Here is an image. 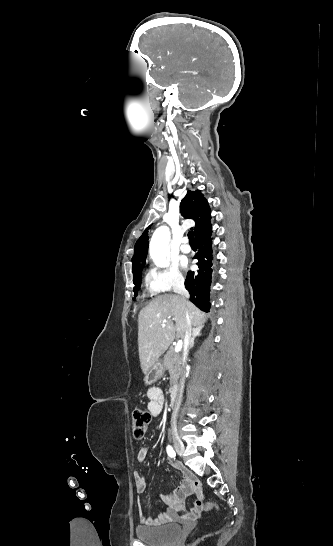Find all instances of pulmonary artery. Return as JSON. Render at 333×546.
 <instances>
[{"instance_id": "1", "label": "pulmonary artery", "mask_w": 333, "mask_h": 546, "mask_svg": "<svg viewBox=\"0 0 333 546\" xmlns=\"http://www.w3.org/2000/svg\"><path fill=\"white\" fill-rule=\"evenodd\" d=\"M180 250L182 253H189L191 251V247L189 246L188 242H187V239H184L181 246H180Z\"/></svg>"}]
</instances>
